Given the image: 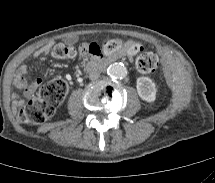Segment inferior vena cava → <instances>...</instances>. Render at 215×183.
<instances>
[{
  "instance_id": "obj_1",
  "label": "inferior vena cava",
  "mask_w": 215,
  "mask_h": 183,
  "mask_svg": "<svg viewBox=\"0 0 215 183\" xmlns=\"http://www.w3.org/2000/svg\"><path fill=\"white\" fill-rule=\"evenodd\" d=\"M99 76H100V74H99L98 71H91V72L89 73V78H90L91 80H96V79L99 78Z\"/></svg>"
}]
</instances>
